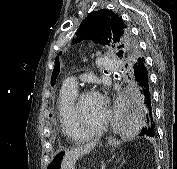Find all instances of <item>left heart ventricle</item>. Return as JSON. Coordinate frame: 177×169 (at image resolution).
<instances>
[{
  "label": "left heart ventricle",
  "instance_id": "left-heart-ventricle-1",
  "mask_svg": "<svg viewBox=\"0 0 177 169\" xmlns=\"http://www.w3.org/2000/svg\"><path fill=\"white\" fill-rule=\"evenodd\" d=\"M79 115L84 128H96L105 119V105L95 95H88L80 103Z\"/></svg>",
  "mask_w": 177,
  "mask_h": 169
}]
</instances>
